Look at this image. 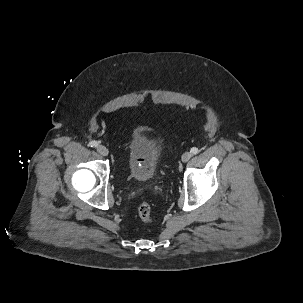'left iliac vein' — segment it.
Wrapping results in <instances>:
<instances>
[{"label": "left iliac vein", "mask_w": 303, "mask_h": 303, "mask_svg": "<svg viewBox=\"0 0 303 303\" xmlns=\"http://www.w3.org/2000/svg\"><path fill=\"white\" fill-rule=\"evenodd\" d=\"M192 157V153L191 152H189V151H187V152H185L183 155H182V161L183 162H187V161H189L190 160V158Z\"/></svg>", "instance_id": "1"}]
</instances>
